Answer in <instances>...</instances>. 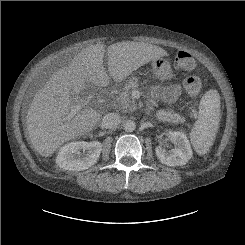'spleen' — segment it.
I'll return each instance as SVG.
<instances>
[{
    "mask_svg": "<svg viewBox=\"0 0 245 245\" xmlns=\"http://www.w3.org/2000/svg\"><path fill=\"white\" fill-rule=\"evenodd\" d=\"M220 122V95L209 90L200 101L198 120L190 133L191 143L199 155H204L213 145Z\"/></svg>",
    "mask_w": 245,
    "mask_h": 245,
    "instance_id": "spleen-1",
    "label": "spleen"
}]
</instances>
